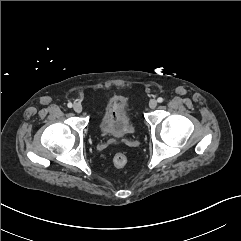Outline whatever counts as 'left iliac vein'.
Listing matches in <instances>:
<instances>
[{
	"label": "left iliac vein",
	"instance_id": "left-iliac-vein-1",
	"mask_svg": "<svg viewBox=\"0 0 241 241\" xmlns=\"http://www.w3.org/2000/svg\"><path fill=\"white\" fill-rule=\"evenodd\" d=\"M156 106H157V101H156L155 99H152V100L149 102V107H150L151 109H154V108H156Z\"/></svg>",
	"mask_w": 241,
	"mask_h": 241
}]
</instances>
